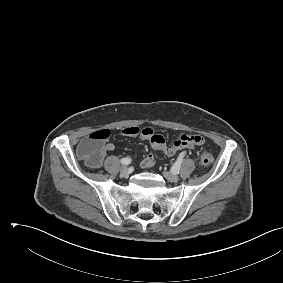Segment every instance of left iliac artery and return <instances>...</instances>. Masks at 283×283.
I'll return each mask as SVG.
<instances>
[{
  "label": "left iliac artery",
  "instance_id": "obj_1",
  "mask_svg": "<svg viewBox=\"0 0 283 283\" xmlns=\"http://www.w3.org/2000/svg\"><path fill=\"white\" fill-rule=\"evenodd\" d=\"M183 158H184V154L179 155L176 162L172 166L171 170H172L173 173H175V174L179 173Z\"/></svg>",
  "mask_w": 283,
  "mask_h": 283
}]
</instances>
